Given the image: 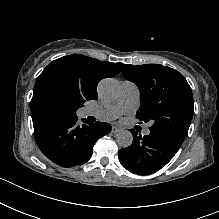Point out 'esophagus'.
<instances>
[{"instance_id":"34e87169","label":"esophagus","mask_w":219,"mask_h":219,"mask_svg":"<svg viewBox=\"0 0 219 219\" xmlns=\"http://www.w3.org/2000/svg\"><path fill=\"white\" fill-rule=\"evenodd\" d=\"M120 131H121V129H120L119 127H117V126H112V129H111V132H112V133L116 134V133H118V132H120Z\"/></svg>"}]
</instances>
